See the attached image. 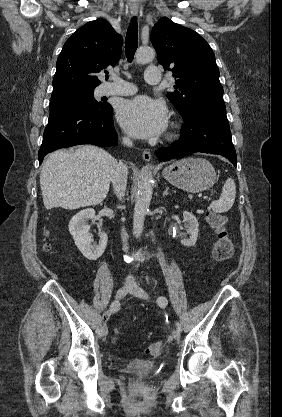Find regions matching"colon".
<instances>
[{
    "mask_svg": "<svg viewBox=\"0 0 282 417\" xmlns=\"http://www.w3.org/2000/svg\"><path fill=\"white\" fill-rule=\"evenodd\" d=\"M206 220L209 227L215 234V242L213 247V256L217 263H223L231 259L234 245L227 231V217L220 212L209 211L206 214ZM113 342L116 341L119 331H116ZM163 345L160 342H153L147 346V355L151 358H157L161 355Z\"/></svg>",
    "mask_w": 282,
    "mask_h": 417,
    "instance_id": "colon-1",
    "label": "colon"
}]
</instances>
